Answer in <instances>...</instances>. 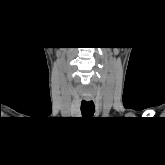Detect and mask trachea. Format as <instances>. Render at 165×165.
<instances>
[{
  "label": "trachea",
  "mask_w": 165,
  "mask_h": 165,
  "mask_svg": "<svg viewBox=\"0 0 165 165\" xmlns=\"http://www.w3.org/2000/svg\"><path fill=\"white\" fill-rule=\"evenodd\" d=\"M81 112L84 117H91L95 112V105L93 101L83 100L81 103Z\"/></svg>",
  "instance_id": "1"
}]
</instances>
